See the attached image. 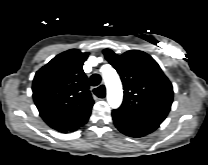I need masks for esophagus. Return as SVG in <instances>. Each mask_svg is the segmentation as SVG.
Here are the masks:
<instances>
[{"label":"esophagus","instance_id":"esophagus-1","mask_svg":"<svg viewBox=\"0 0 208 165\" xmlns=\"http://www.w3.org/2000/svg\"><path fill=\"white\" fill-rule=\"evenodd\" d=\"M101 86L104 88V90H105V96H104V98H102V99H105V97H106V87H105V84H101Z\"/></svg>","mask_w":208,"mask_h":165}]
</instances>
